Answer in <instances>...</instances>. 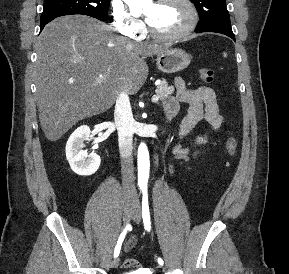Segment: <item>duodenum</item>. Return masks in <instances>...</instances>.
Here are the masks:
<instances>
[{"label":"duodenum","mask_w":289,"mask_h":274,"mask_svg":"<svg viewBox=\"0 0 289 274\" xmlns=\"http://www.w3.org/2000/svg\"><path fill=\"white\" fill-rule=\"evenodd\" d=\"M174 115H175V114H173V113H172V114H167V115L165 114L164 123H165V124L169 123V122L172 120V118L174 117Z\"/></svg>","instance_id":"410a0bca"}]
</instances>
